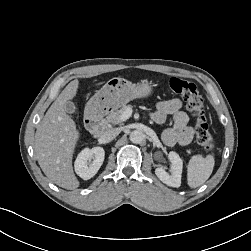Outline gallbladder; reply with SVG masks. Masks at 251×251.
<instances>
[{
	"instance_id": "gallbladder-1",
	"label": "gallbladder",
	"mask_w": 251,
	"mask_h": 251,
	"mask_svg": "<svg viewBox=\"0 0 251 251\" xmlns=\"http://www.w3.org/2000/svg\"><path fill=\"white\" fill-rule=\"evenodd\" d=\"M65 111L67 112V113H69V114H73V113H75V111H76V107H75V105H74V103L73 102H71V101H67L66 103H65Z\"/></svg>"
}]
</instances>
